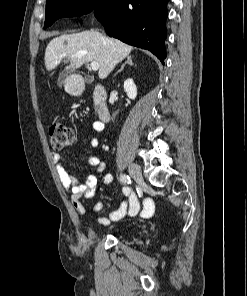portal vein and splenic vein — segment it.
I'll return each instance as SVG.
<instances>
[{
    "label": "portal vein and splenic vein",
    "mask_w": 247,
    "mask_h": 296,
    "mask_svg": "<svg viewBox=\"0 0 247 296\" xmlns=\"http://www.w3.org/2000/svg\"><path fill=\"white\" fill-rule=\"evenodd\" d=\"M91 69L97 71L99 69V64L97 62H91Z\"/></svg>",
    "instance_id": "1"
}]
</instances>
